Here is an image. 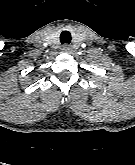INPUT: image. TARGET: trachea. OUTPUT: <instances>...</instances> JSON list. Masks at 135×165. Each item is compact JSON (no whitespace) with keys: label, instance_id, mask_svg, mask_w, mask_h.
I'll list each match as a JSON object with an SVG mask.
<instances>
[{"label":"trachea","instance_id":"obj_1","mask_svg":"<svg viewBox=\"0 0 135 165\" xmlns=\"http://www.w3.org/2000/svg\"><path fill=\"white\" fill-rule=\"evenodd\" d=\"M60 42L62 44H70V42H71V33L69 31H63L60 34Z\"/></svg>","mask_w":135,"mask_h":165}]
</instances>
